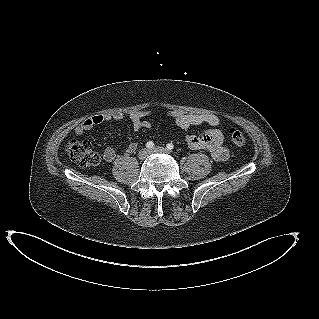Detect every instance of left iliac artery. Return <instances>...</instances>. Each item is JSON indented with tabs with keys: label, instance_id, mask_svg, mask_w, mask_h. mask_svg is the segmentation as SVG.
I'll use <instances>...</instances> for the list:
<instances>
[{
	"label": "left iliac artery",
	"instance_id": "44dca946",
	"mask_svg": "<svg viewBox=\"0 0 319 319\" xmlns=\"http://www.w3.org/2000/svg\"><path fill=\"white\" fill-rule=\"evenodd\" d=\"M166 148H167L168 150H172V149L174 148V145H173L172 143H168V144L166 145Z\"/></svg>",
	"mask_w": 319,
	"mask_h": 319
}]
</instances>
